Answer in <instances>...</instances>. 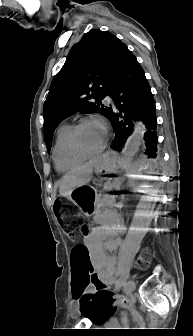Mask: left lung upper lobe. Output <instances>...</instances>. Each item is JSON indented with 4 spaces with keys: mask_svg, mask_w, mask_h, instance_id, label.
Listing matches in <instances>:
<instances>
[{
    "mask_svg": "<svg viewBox=\"0 0 193 336\" xmlns=\"http://www.w3.org/2000/svg\"><path fill=\"white\" fill-rule=\"evenodd\" d=\"M126 48L116 36L98 29L84 34L72 47L62 69L52 80L44 104V137L48 152L54 130L64 118L76 112H95L109 119L112 108L102 105L101 100L111 93Z\"/></svg>",
    "mask_w": 193,
    "mask_h": 336,
    "instance_id": "5c2ea615",
    "label": "left lung upper lobe"
}]
</instances>
